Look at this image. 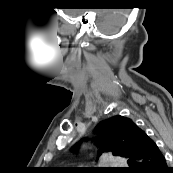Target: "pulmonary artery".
I'll return each instance as SVG.
<instances>
[{
  "instance_id": "1",
  "label": "pulmonary artery",
  "mask_w": 173,
  "mask_h": 173,
  "mask_svg": "<svg viewBox=\"0 0 173 173\" xmlns=\"http://www.w3.org/2000/svg\"><path fill=\"white\" fill-rule=\"evenodd\" d=\"M103 164L111 168H118L123 166L125 163L119 157L113 156L111 154H106L105 157L103 158Z\"/></svg>"
}]
</instances>
